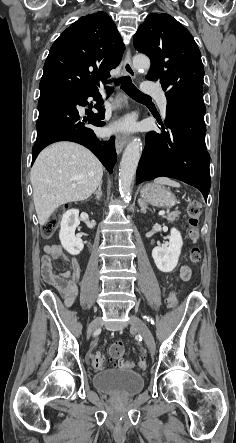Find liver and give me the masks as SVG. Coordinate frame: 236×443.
Listing matches in <instances>:
<instances>
[{"mask_svg":"<svg viewBox=\"0 0 236 443\" xmlns=\"http://www.w3.org/2000/svg\"><path fill=\"white\" fill-rule=\"evenodd\" d=\"M102 176L100 161L79 144L58 142L44 149L31 169L39 224H46L59 206L89 198L102 182Z\"/></svg>","mask_w":236,"mask_h":443,"instance_id":"liver-1","label":"liver"}]
</instances>
